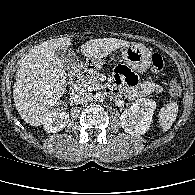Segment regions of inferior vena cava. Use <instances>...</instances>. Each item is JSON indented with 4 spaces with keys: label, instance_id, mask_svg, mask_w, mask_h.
Wrapping results in <instances>:
<instances>
[{
    "label": "inferior vena cava",
    "instance_id": "1",
    "mask_svg": "<svg viewBox=\"0 0 195 195\" xmlns=\"http://www.w3.org/2000/svg\"><path fill=\"white\" fill-rule=\"evenodd\" d=\"M92 97V93L87 90V89H81L78 90L74 95H73V100L76 103L83 104L88 102Z\"/></svg>",
    "mask_w": 195,
    "mask_h": 195
}]
</instances>
